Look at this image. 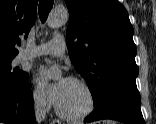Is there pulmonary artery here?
I'll return each instance as SVG.
<instances>
[{"label": "pulmonary artery", "mask_w": 156, "mask_h": 124, "mask_svg": "<svg viewBox=\"0 0 156 124\" xmlns=\"http://www.w3.org/2000/svg\"><path fill=\"white\" fill-rule=\"evenodd\" d=\"M65 53V42L61 36L52 38L49 42L33 49H26L21 54V59H31L41 55L62 56Z\"/></svg>", "instance_id": "e3ab8cb5"}]
</instances>
